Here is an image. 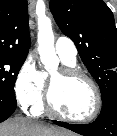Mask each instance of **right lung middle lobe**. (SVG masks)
<instances>
[{"label":"right lung middle lobe","instance_id":"obj_1","mask_svg":"<svg viewBox=\"0 0 117 136\" xmlns=\"http://www.w3.org/2000/svg\"><path fill=\"white\" fill-rule=\"evenodd\" d=\"M26 58L0 55V93L14 95V85Z\"/></svg>","mask_w":117,"mask_h":136}]
</instances>
